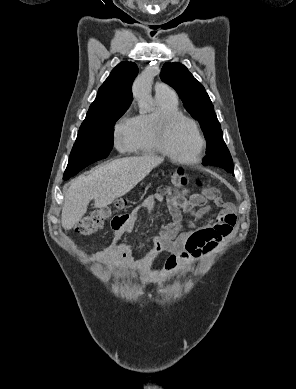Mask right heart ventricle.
Returning a JSON list of instances; mask_svg holds the SVG:
<instances>
[{
	"label": "right heart ventricle",
	"mask_w": 296,
	"mask_h": 389,
	"mask_svg": "<svg viewBox=\"0 0 296 389\" xmlns=\"http://www.w3.org/2000/svg\"><path fill=\"white\" fill-rule=\"evenodd\" d=\"M156 102V111L139 114L132 118L128 145V150L132 153L145 155L161 153L155 136L156 122L163 114L179 112V105L176 96L165 94H156Z\"/></svg>",
	"instance_id": "e07e8e85"
}]
</instances>
